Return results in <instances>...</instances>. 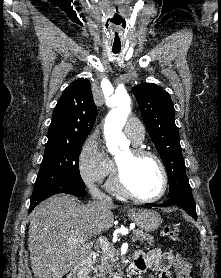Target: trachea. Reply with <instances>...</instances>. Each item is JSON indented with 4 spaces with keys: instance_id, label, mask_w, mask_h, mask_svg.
<instances>
[{
    "instance_id": "3493384b",
    "label": "trachea",
    "mask_w": 221,
    "mask_h": 278,
    "mask_svg": "<svg viewBox=\"0 0 221 278\" xmlns=\"http://www.w3.org/2000/svg\"><path fill=\"white\" fill-rule=\"evenodd\" d=\"M120 51H121V48H114V47H113V49H112V52H113L114 54H118Z\"/></svg>"
}]
</instances>
